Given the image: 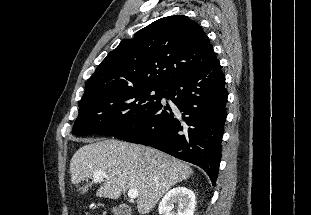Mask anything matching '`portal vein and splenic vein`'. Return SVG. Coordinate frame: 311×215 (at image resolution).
I'll return each instance as SVG.
<instances>
[{"label":"portal vein and splenic vein","mask_w":311,"mask_h":215,"mask_svg":"<svg viewBox=\"0 0 311 215\" xmlns=\"http://www.w3.org/2000/svg\"><path fill=\"white\" fill-rule=\"evenodd\" d=\"M105 177H106V174L104 172L97 171L93 175V180L96 182V181H100L101 179H103ZM138 194H139V192L137 189H129V191H128V197L132 200L136 199L138 197Z\"/></svg>","instance_id":"portal-vein-and-splenic-vein-1"}]
</instances>
